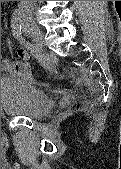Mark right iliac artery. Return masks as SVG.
Listing matches in <instances>:
<instances>
[{
	"label": "right iliac artery",
	"mask_w": 121,
	"mask_h": 169,
	"mask_svg": "<svg viewBox=\"0 0 121 169\" xmlns=\"http://www.w3.org/2000/svg\"><path fill=\"white\" fill-rule=\"evenodd\" d=\"M11 23H12L11 25H12L13 35L18 40H20L21 42L24 43L23 33L28 32V31H26L24 26H23L22 12H21L20 9L15 10V12H14V14L12 16ZM27 46H28V44H27ZM28 48H30V47L28 46ZM32 52L34 53L35 57L39 60V62H41V64L43 66H47L45 58L40 53H38L34 49L32 50Z\"/></svg>",
	"instance_id": "right-iliac-artery-1"
}]
</instances>
